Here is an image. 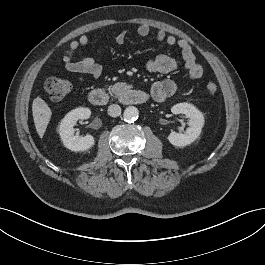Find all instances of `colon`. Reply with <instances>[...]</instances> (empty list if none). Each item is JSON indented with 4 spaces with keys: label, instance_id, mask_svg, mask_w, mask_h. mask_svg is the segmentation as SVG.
Listing matches in <instances>:
<instances>
[{
    "label": "colon",
    "instance_id": "colon-1",
    "mask_svg": "<svg viewBox=\"0 0 265 265\" xmlns=\"http://www.w3.org/2000/svg\"><path fill=\"white\" fill-rule=\"evenodd\" d=\"M45 91L52 101H61L64 99L71 90V84L66 79L49 78L44 85ZM216 83L209 81L206 83L205 91L208 95L213 96L217 92Z\"/></svg>",
    "mask_w": 265,
    "mask_h": 265
}]
</instances>
